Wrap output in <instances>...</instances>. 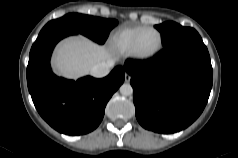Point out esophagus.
Listing matches in <instances>:
<instances>
[{
  "mask_svg": "<svg viewBox=\"0 0 238 158\" xmlns=\"http://www.w3.org/2000/svg\"><path fill=\"white\" fill-rule=\"evenodd\" d=\"M131 76L128 73H125V82H130Z\"/></svg>",
  "mask_w": 238,
  "mask_h": 158,
  "instance_id": "34e87169",
  "label": "esophagus"
}]
</instances>
